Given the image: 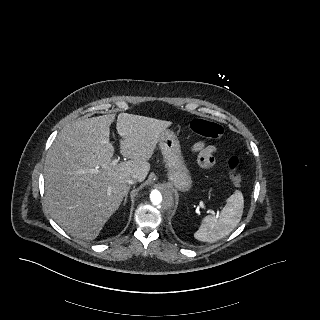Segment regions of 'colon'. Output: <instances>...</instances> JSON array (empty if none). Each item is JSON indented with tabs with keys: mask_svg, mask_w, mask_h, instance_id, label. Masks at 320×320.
I'll use <instances>...</instances> for the list:
<instances>
[{
	"mask_svg": "<svg viewBox=\"0 0 320 320\" xmlns=\"http://www.w3.org/2000/svg\"><path fill=\"white\" fill-rule=\"evenodd\" d=\"M192 130L204 137L219 139L223 135V128L215 121L197 118L191 122ZM229 177L235 185H240L242 176L240 173L241 160L238 156H232L228 161Z\"/></svg>",
	"mask_w": 320,
	"mask_h": 320,
	"instance_id": "colon-1",
	"label": "colon"
}]
</instances>
